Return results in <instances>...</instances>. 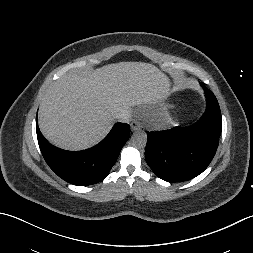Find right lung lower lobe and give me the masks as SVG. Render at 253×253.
<instances>
[{
    "mask_svg": "<svg viewBox=\"0 0 253 253\" xmlns=\"http://www.w3.org/2000/svg\"><path fill=\"white\" fill-rule=\"evenodd\" d=\"M37 139L49 167L68 183L87 186L102 181L116 162L130 136V126L116 123L98 145L83 151H66L51 145L42 136L36 122Z\"/></svg>",
    "mask_w": 253,
    "mask_h": 253,
    "instance_id": "98d812e1",
    "label": "right lung lower lobe"
}]
</instances>
